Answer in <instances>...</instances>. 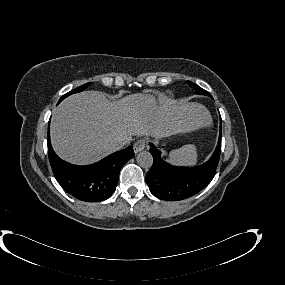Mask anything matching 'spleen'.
I'll return each instance as SVG.
<instances>
[{
	"label": "spleen",
	"instance_id": "3e777b00",
	"mask_svg": "<svg viewBox=\"0 0 285 285\" xmlns=\"http://www.w3.org/2000/svg\"><path fill=\"white\" fill-rule=\"evenodd\" d=\"M203 119L206 115L203 113ZM169 162L177 166H193L198 162L197 148L194 145H185L173 150L169 154Z\"/></svg>",
	"mask_w": 285,
	"mask_h": 285
}]
</instances>
